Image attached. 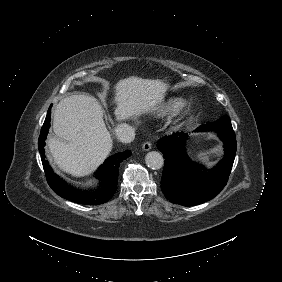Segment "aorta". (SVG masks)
<instances>
[{"label":"aorta","mask_w":282,"mask_h":282,"mask_svg":"<svg viewBox=\"0 0 282 282\" xmlns=\"http://www.w3.org/2000/svg\"><path fill=\"white\" fill-rule=\"evenodd\" d=\"M145 163L149 168L159 169L163 166V157L157 151H149L145 155Z\"/></svg>","instance_id":"aorta-1"}]
</instances>
